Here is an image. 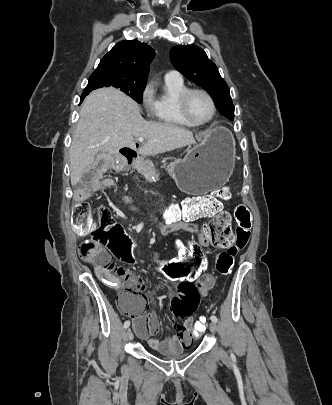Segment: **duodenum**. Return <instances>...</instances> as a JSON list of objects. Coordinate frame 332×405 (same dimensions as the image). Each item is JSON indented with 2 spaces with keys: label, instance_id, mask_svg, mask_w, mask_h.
Wrapping results in <instances>:
<instances>
[{
  "label": "duodenum",
  "instance_id": "obj_1",
  "mask_svg": "<svg viewBox=\"0 0 332 405\" xmlns=\"http://www.w3.org/2000/svg\"><path fill=\"white\" fill-rule=\"evenodd\" d=\"M122 155L124 156V158L128 164L133 163L137 156V154L130 149L123 151ZM190 219H191L190 214H185L182 217H178V218H169V219L163 221V223L161 225V230L163 233H170V232H173L176 230L185 229V224Z\"/></svg>",
  "mask_w": 332,
  "mask_h": 405
}]
</instances>
